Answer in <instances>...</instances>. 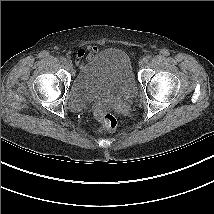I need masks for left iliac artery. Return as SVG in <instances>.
I'll return each mask as SVG.
<instances>
[{
	"label": "left iliac artery",
	"mask_w": 214,
	"mask_h": 214,
	"mask_svg": "<svg viewBox=\"0 0 214 214\" xmlns=\"http://www.w3.org/2000/svg\"><path fill=\"white\" fill-rule=\"evenodd\" d=\"M144 59L146 62L149 61V59H151V55H147Z\"/></svg>",
	"instance_id": "44dca946"
}]
</instances>
